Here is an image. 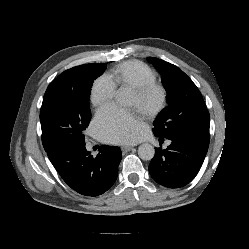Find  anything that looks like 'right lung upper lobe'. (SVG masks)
I'll use <instances>...</instances> for the list:
<instances>
[{
  "mask_svg": "<svg viewBox=\"0 0 249 249\" xmlns=\"http://www.w3.org/2000/svg\"><path fill=\"white\" fill-rule=\"evenodd\" d=\"M70 70H71V69H68V70L64 71V72H63L61 75H59V76H64V75H66L67 73L70 72Z\"/></svg>",
  "mask_w": 249,
  "mask_h": 249,
  "instance_id": "1",
  "label": "right lung upper lobe"
}]
</instances>
